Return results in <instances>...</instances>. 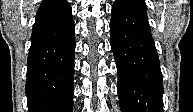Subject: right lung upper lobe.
I'll list each match as a JSON object with an SVG mask.
<instances>
[{
	"instance_id": "cb5924a9",
	"label": "right lung upper lobe",
	"mask_w": 193,
	"mask_h": 112,
	"mask_svg": "<svg viewBox=\"0 0 193 112\" xmlns=\"http://www.w3.org/2000/svg\"><path fill=\"white\" fill-rule=\"evenodd\" d=\"M47 0H43L42 3L46 2Z\"/></svg>"
}]
</instances>
